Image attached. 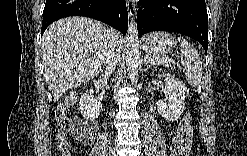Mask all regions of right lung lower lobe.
Listing matches in <instances>:
<instances>
[{
  "label": "right lung lower lobe",
  "instance_id": "98d812e1",
  "mask_svg": "<svg viewBox=\"0 0 247 156\" xmlns=\"http://www.w3.org/2000/svg\"><path fill=\"white\" fill-rule=\"evenodd\" d=\"M68 16H86L109 24L123 35L127 32L125 0H47L41 34L54 21Z\"/></svg>",
  "mask_w": 247,
  "mask_h": 156
}]
</instances>
